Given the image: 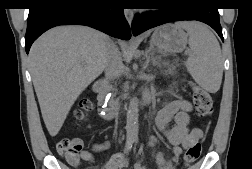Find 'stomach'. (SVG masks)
I'll return each instance as SVG.
<instances>
[{"label": "stomach", "mask_w": 252, "mask_h": 169, "mask_svg": "<svg viewBox=\"0 0 252 169\" xmlns=\"http://www.w3.org/2000/svg\"><path fill=\"white\" fill-rule=\"evenodd\" d=\"M151 42L159 50L181 52L186 47L187 34L177 24H166L154 31Z\"/></svg>", "instance_id": "0dacf381"}]
</instances>
